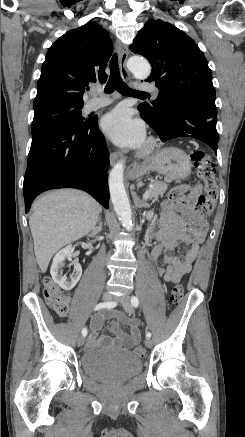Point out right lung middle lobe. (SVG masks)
<instances>
[{"label": "right lung middle lobe", "mask_w": 245, "mask_h": 437, "mask_svg": "<svg viewBox=\"0 0 245 437\" xmlns=\"http://www.w3.org/2000/svg\"><path fill=\"white\" fill-rule=\"evenodd\" d=\"M83 105L71 103H53L34 108V118L31 126L32 134L39 131L45 125L60 122L81 127L89 124L92 119L82 116Z\"/></svg>", "instance_id": "dd1d6c3e"}]
</instances>
